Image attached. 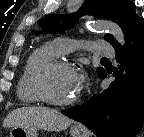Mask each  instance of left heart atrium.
<instances>
[{
    "label": "left heart atrium",
    "mask_w": 144,
    "mask_h": 137,
    "mask_svg": "<svg viewBox=\"0 0 144 137\" xmlns=\"http://www.w3.org/2000/svg\"><path fill=\"white\" fill-rule=\"evenodd\" d=\"M88 76L84 71H76L73 76L74 90L76 93H80L86 85Z\"/></svg>",
    "instance_id": "39dd6f15"
}]
</instances>
